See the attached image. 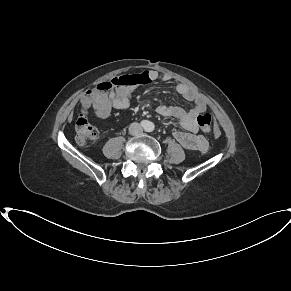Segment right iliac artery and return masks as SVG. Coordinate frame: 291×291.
<instances>
[{
  "label": "right iliac artery",
  "instance_id": "1",
  "mask_svg": "<svg viewBox=\"0 0 291 291\" xmlns=\"http://www.w3.org/2000/svg\"><path fill=\"white\" fill-rule=\"evenodd\" d=\"M141 124H142V126H145L147 124V122L146 121H142Z\"/></svg>",
  "mask_w": 291,
  "mask_h": 291
}]
</instances>
